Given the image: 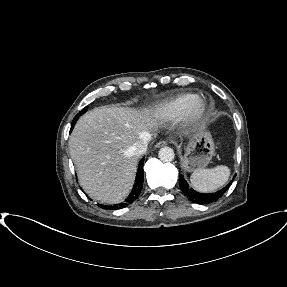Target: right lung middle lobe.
<instances>
[{"instance_id":"dd1d6c3e","label":"right lung middle lobe","mask_w":287,"mask_h":287,"mask_svg":"<svg viewBox=\"0 0 287 287\" xmlns=\"http://www.w3.org/2000/svg\"><path fill=\"white\" fill-rule=\"evenodd\" d=\"M87 108H88V106H86L81 112H79V114H77V115L74 117V119H73V121H72V127L74 126V124H75L76 121L78 120L79 116L86 112Z\"/></svg>"}]
</instances>
